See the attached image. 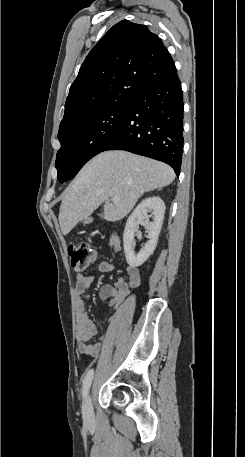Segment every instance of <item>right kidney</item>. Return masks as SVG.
<instances>
[{
    "label": "right kidney",
    "instance_id": "ca27d5eb",
    "mask_svg": "<svg viewBox=\"0 0 245 457\" xmlns=\"http://www.w3.org/2000/svg\"><path fill=\"white\" fill-rule=\"evenodd\" d=\"M151 212V214H148ZM165 204L160 196H148L144 198L129 218H127L126 226L123 233L124 253L129 267H140L143 265L150 255H153L157 243L159 233L164 218ZM152 216L153 220L150 222L149 218ZM141 222L145 226L146 233H148L147 243L142 247L139 253H135V233H137L138 224Z\"/></svg>",
    "mask_w": 245,
    "mask_h": 457
}]
</instances>
